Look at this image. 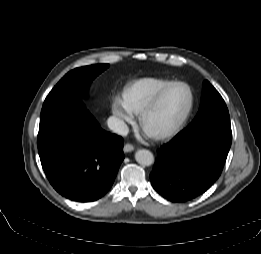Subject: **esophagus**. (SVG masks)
Here are the masks:
<instances>
[{"label":"esophagus","mask_w":261,"mask_h":254,"mask_svg":"<svg viewBox=\"0 0 261 254\" xmlns=\"http://www.w3.org/2000/svg\"><path fill=\"white\" fill-rule=\"evenodd\" d=\"M123 149L125 153L132 152L134 150V146L132 144L126 143Z\"/></svg>","instance_id":"1"}]
</instances>
